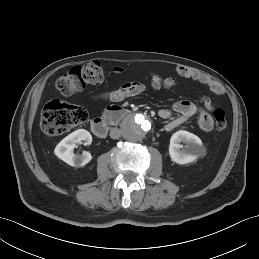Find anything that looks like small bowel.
Here are the masks:
<instances>
[{"instance_id":"1","label":"small bowel","mask_w":259,"mask_h":259,"mask_svg":"<svg viewBox=\"0 0 259 259\" xmlns=\"http://www.w3.org/2000/svg\"><path fill=\"white\" fill-rule=\"evenodd\" d=\"M115 73H123L124 69L121 67L114 68ZM176 75L181 78L191 79L198 83L206 85L212 92L222 94L224 92L223 86L211 76L204 74L198 70L186 66L176 67ZM151 87L153 90L158 91L161 89H171L177 85V79L173 76L162 77L159 74H152L150 79ZM145 90L144 84L138 81H129L123 83L117 89L103 93L97 96V99L109 100L111 102H121L125 98L138 95ZM200 102L203 106L198 105L188 100L176 101L172 110L161 109L158 114L163 119H170L172 112L177 116L172 118L166 124V130H172L184 122L188 121L194 116L199 117V127L204 132L213 130V120L208 114V111L213 110V105L209 98L202 97Z\"/></svg>"}]
</instances>
